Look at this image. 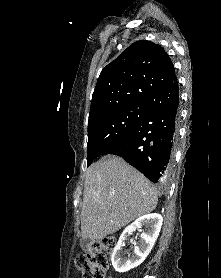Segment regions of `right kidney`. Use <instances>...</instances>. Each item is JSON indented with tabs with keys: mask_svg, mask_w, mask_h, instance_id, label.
Wrapping results in <instances>:
<instances>
[{
	"mask_svg": "<svg viewBox=\"0 0 221 278\" xmlns=\"http://www.w3.org/2000/svg\"><path fill=\"white\" fill-rule=\"evenodd\" d=\"M162 222L163 218L160 214H147L138 218L123 231L111 256L112 265L117 272H127L139 266L146 259L159 235ZM143 226L145 227V232L140 235V241L134 245L133 251L128 253V258L125 257V252L122 251L124 241L135 230Z\"/></svg>",
	"mask_w": 221,
	"mask_h": 278,
	"instance_id": "right-kidney-1",
	"label": "right kidney"
}]
</instances>
